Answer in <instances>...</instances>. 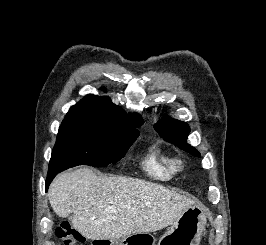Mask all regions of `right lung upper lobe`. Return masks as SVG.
Returning a JSON list of instances; mask_svg holds the SVG:
<instances>
[{"label":"right lung upper lobe","instance_id":"1","mask_svg":"<svg viewBox=\"0 0 266 245\" xmlns=\"http://www.w3.org/2000/svg\"><path fill=\"white\" fill-rule=\"evenodd\" d=\"M72 116L99 117L124 125L143 124L142 117L139 114L127 115L106 96H86L70 108L66 117Z\"/></svg>","mask_w":266,"mask_h":245}]
</instances>
